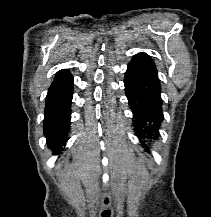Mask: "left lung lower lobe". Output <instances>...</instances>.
<instances>
[{"mask_svg": "<svg viewBox=\"0 0 211 217\" xmlns=\"http://www.w3.org/2000/svg\"><path fill=\"white\" fill-rule=\"evenodd\" d=\"M124 84L136 131L145 135L143 139H156L163 121L159 80L143 69L128 64Z\"/></svg>", "mask_w": 211, "mask_h": 217, "instance_id": "left-lung-lower-lobe-1", "label": "left lung lower lobe"}]
</instances>
